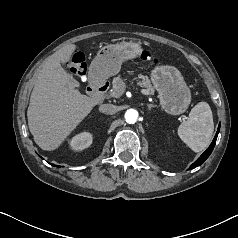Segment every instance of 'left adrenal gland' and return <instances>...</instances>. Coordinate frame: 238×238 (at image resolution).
I'll return each instance as SVG.
<instances>
[{
    "mask_svg": "<svg viewBox=\"0 0 238 238\" xmlns=\"http://www.w3.org/2000/svg\"><path fill=\"white\" fill-rule=\"evenodd\" d=\"M156 107L155 105L149 104L148 105V110H151V108Z\"/></svg>",
    "mask_w": 238,
    "mask_h": 238,
    "instance_id": "left-adrenal-gland-1",
    "label": "left adrenal gland"
}]
</instances>
